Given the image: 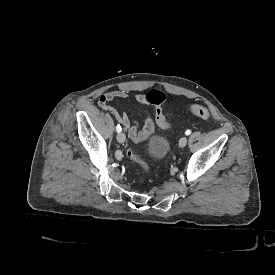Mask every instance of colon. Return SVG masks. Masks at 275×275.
<instances>
[{
    "label": "colon",
    "instance_id": "1",
    "mask_svg": "<svg viewBox=\"0 0 275 275\" xmlns=\"http://www.w3.org/2000/svg\"><path fill=\"white\" fill-rule=\"evenodd\" d=\"M144 99L146 102L148 103H158V104H162L165 102L166 97L164 94L158 92V91H151L145 94ZM190 111L198 116L199 118L205 120L206 122H210L211 121V115L208 112V110L202 106L199 105H193L190 108ZM156 117L159 120V126L161 128H168L171 125V120L167 117L164 116L162 108L158 107L156 109ZM127 156L129 159L133 160L135 163H137L139 165L140 168H142L143 170H146V165L143 162V160L140 158L139 154L133 150L130 149L127 153Z\"/></svg>",
    "mask_w": 275,
    "mask_h": 275
}]
</instances>
